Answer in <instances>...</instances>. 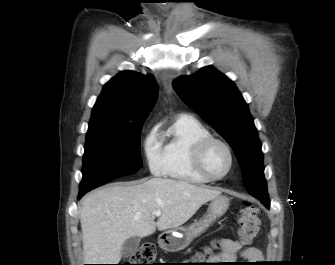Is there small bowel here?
I'll return each instance as SVG.
<instances>
[{"instance_id":"1","label":"small bowel","mask_w":335,"mask_h":265,"mask_svg":"<svg viewBox=\"0 0 335 265\" xmlns=\"http://www.w3.org/2000/svg\"><path fill=\"white\" fill-rule=\"evenodd\" d=\"M217 246L219 251L210 258L211 264L231 263L238 256L253 263L262 260L261 250L253 246L245 247L242 240L220 239Z\"/></svg>"}]
</instances>
